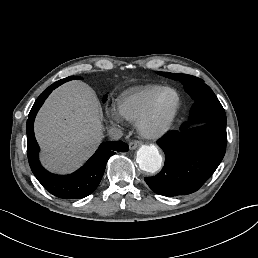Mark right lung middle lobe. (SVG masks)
I'll return each instance as SVG.
<instances>
[{
  "instance_id": "dd1d6c3e",
  "label": "right lung middle lobe",
  "mask_w": 258,
  "mask_h": 258,
  "mask_svg": "<svg viewBox=\"0 0 258 258\" xmlns=\"http://www.w3.org/2000/svg\"><path fill=\"white\" fill-rule=\"evenodd\" d=\"M106 99H107V97L105 96V97H104V99H103V102H105V101H106Z\"/></svg>"
}]
</instances>
